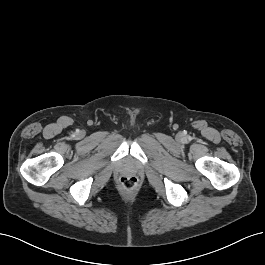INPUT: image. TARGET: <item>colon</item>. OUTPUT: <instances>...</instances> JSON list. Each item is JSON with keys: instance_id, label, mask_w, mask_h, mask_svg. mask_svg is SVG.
Listing matches in <instances>:
<instances>
[{"instance_id": "1", "label": "colon", "mask_w": 265, "mask_h": 265, "mask_svg": "<svg viewBox=\"0 0 265 265\" xmlns=\"http://www.w3.org/2000/svg\"><path fill=\"white\" fill-rule=\"evenodd\" d=\"M122 186L126 189H133L137 184V180L133 176H124L120 180Z\"/></svg>"}]
</instances>
